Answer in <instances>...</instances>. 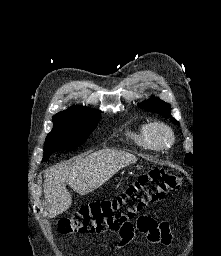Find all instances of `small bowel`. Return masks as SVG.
Wrapping results in <instances>:
<instances>
[{
  "label": "small bowel",
  "instance_id": "1",
  "mask_svg": "<svg viewBox=\"0 0 221 256\" xmlns=\"http://www.w3.org/2000/svg\"><path fill=\"white\" fill-rule=\"evenodd\" d=\"M136 228L143 234H145L147 240L152 244L169 245L172 241V235L167 222L159 221L156 217L141 216L136 222ZM134 236L133 224L120 231L119 245H125L129 243Z\"/></svg>",
  "mask_w": 221,
  "mask_h": 256
}]
</instances>
